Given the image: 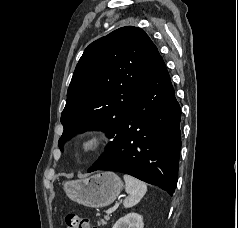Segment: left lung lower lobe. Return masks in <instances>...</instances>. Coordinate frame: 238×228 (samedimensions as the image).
<instances>
[{"label": "left lung lower lobe", "mask_w": 238, "mask_h": 228, "mask_svg": "<svg viewBox=\"0 0 238 228\" xmlns=\"http://www.w3.org/2000/svg\"><path fill=\"white\" fill-rule=\"evenodd\" d=\"M181 109L160 54L123 120L112 157L92 166L157 185L170 195L177 184Z\"/></svg>", "instance_id": "1"}]
</instances>
